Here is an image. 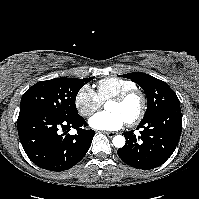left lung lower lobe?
I'll list each match as a JSON object with an SVG mask.
<instances>
[{
    "label": "left lung lower lobe",
    "instance_id": "obj_1",
    "mask_svg": "<svg viewBox=\"0 0 199 199\" xmlns=\"http://www.w3.org/2000/svg\"><path fill=\"white\" fill-rule=\"evenodd\" d=\"M140 136L133 132L123 133L124 147L118 149L119 157L128 165L149 170L162 165L174 152L182 131L180 106L164 109L142 120L138 128Z\"/></svg>",
    "mask_w": 199,
    "mask_h": 199
}]
</instances>
